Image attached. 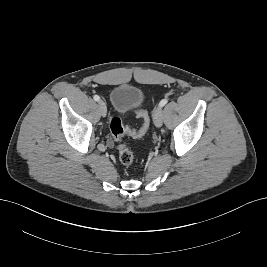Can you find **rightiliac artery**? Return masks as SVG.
<instances>
[{
  "label": "right iliac artery",
  "mask_w": 267,
  "mask_h": 267,
  "mask_svg": "<svg viewBox=\"0 0 267 267\" xmlns=\"http://www.w3.org/2000/svg\"><path fill=\"white\" fill-rule=\"evenodd\" d=\"M93 98H94L95 101H99L100 100V97L98 95H94Z\"/></svg>",
  "instance_id": "82829eb1"
}]
</instances>
